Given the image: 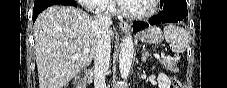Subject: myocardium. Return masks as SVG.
<instances>
[{
    "label": "myocardium",
    "instance_id": "myocardium-1",
    "mask_svg": "<svg viewBox=\"0 0 227 88\" xmlns=\"http://www.w3.org/2000/svg\"><path fill=\"white\" fill-rule=\"evenodd\" d=\"M129 1H132V0H129ZM158 2H159V0H151L152 7H151L150 11H148L146 13H141V14L127 12L124 9V4L119 2L117 11H118L119 14H121V15L129 18V19H132V20H145V19L152 17L155 14V12L157 10Z\"/></svg>",
    "mask_w": 227,
    "mask_h": 88
}]
</instances>
